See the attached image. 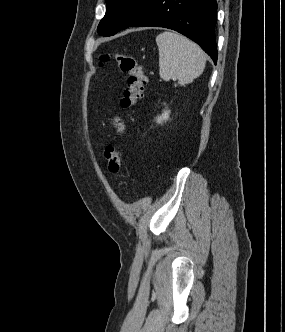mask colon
<instances>
[{"mask_svg": "<svg viewBox=\"0 0 285 332\" xmlns=\"http://www.w3.org/2000/svg\"><path fill=\"white\" fill-rule=\"evenodd\" d=\"M109 59H114L119 71L127 75V84L123 90L120 104L123 109H129L141 101L147 84V77L142 67L132 56L119 52L103 54L100 57V64L102 65ZM104 157L107 161L109 172L112 175H117L122 164L121 152L114 146H107L104 150Z\"/></svg>", "mask_w": 285, "mask_h": 332, "instance_id": "1", "label": "colon"}]
</instances>
